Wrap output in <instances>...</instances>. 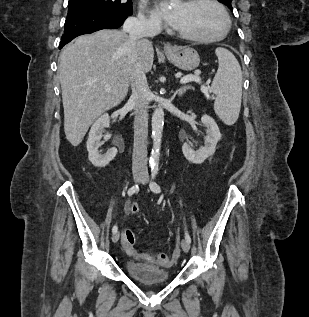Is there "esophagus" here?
<instances>
[{
    "mask_svg": "<svg viewBox=\"0 0 309 317\" xmlns=\"http://www.w3.org/2000/svg\"><path fill=\"white\" fill-rule=\"evenodd\" d=\"M164 50H165L166 52L172 51V45L169 44V43H166V44L164 45Z\"/></svg>",
    "mask_w": 309,
    "mask_h": 317,
    "instance_id": "34e87169",
    "label": "esophagus"
}]
</instances>
